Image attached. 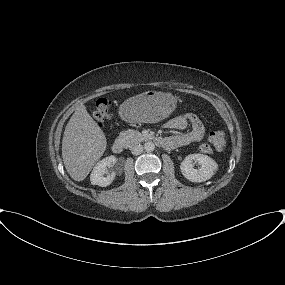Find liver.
<instances>
[{
  "label": "liver",
  "instance_id": "liver-1",
  "mask_svg": "<svg viewBox=\"0 0 285 285\" xmlns=\"http://www.w3.org/2000/svg\"><path fill=\"white\" fill-rule=\"evenodd\" d=\"M106 137L84 105L76 108L62 139L65 168L75 181H83L106 149Z\"/></svg>",
  "mask_w": 285,
  "mask_h": 285
}]
</instances>
